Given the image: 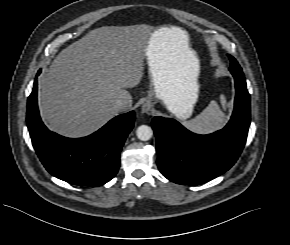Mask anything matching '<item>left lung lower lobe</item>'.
Returning a JSON list of instances; mask_svg holds the SVG:
<instances>
[{"label": "left lung lower lobe", "instance_id": "obj_1", "mask_svg": "<svg viewBox=\"0 0 290 245\" xmlns=\"http://www.w3.org/2000/svg\"><path fill=\"white\" fill-rule=\"evenodd\" d=\"M235 80L234 111L228 124L209 135L188 131L170 118L154 117L160 172L184 185L205 183L230 169L245 145L250 125V96L239 65L229 68Z\"/></svg>", "mask_w": 290, "mask_h": 245}]
</instances>
